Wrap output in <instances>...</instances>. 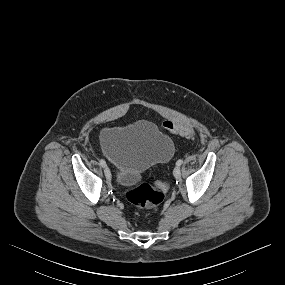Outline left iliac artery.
<instances>
[{
	"mask_svg": "<svg viewBox=\"0 0 285 285\" xmlns=\"http://www.w3.org/2000/svg\"><path fill=\"white\" fill-rule=\"evenodd\" d=\"M182 163H183V160H182V159H179V160L176 162V165H177V166H180Z\"/></svg>",
	"mask_w": 285,
	"mask_h": 285,
	"instance_id": "44dca946",
	"label": "left iliac artery"
}]
</instances>
